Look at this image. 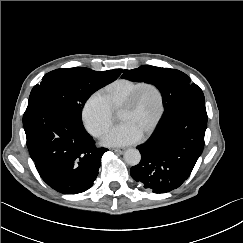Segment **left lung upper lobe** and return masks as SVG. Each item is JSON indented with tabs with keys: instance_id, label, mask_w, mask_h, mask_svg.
<instances>
[{
	"instance_id": "1",
	"label": "left lung upper lobe",
	"mask_w": 243,
	"mask_h": 243,
	"mask_svg": "<svg viewBox=\"0 0 243 243\" xmlns=\"http://www.w3.org/2000/svg\"><path fill=\"white\" fill-rule=\"evenodd\" d=\"M121 78L155 85L162 94L164 113L160 124L174 111L197 99H204L202 90L183 72L170 68L143 65L137 69L124 70Z\"/></svg>"
}]
</instances>
